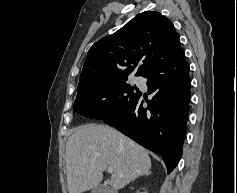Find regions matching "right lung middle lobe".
Wrapping results in <instances>:
<instances>
[{"label": "right lung middle lobe", "instance_id": "dd1d6c3e", "mask_svg": "<svg viewBox=\"0 0 237 193\" xmlns=\"http://www.w3.org/2000/svg\"><path fill=\"white\" fill-rule=\"evenodd\" d=\"M127 79L113 80L77 91L73 110L94 119H104L123 110L139 94Z\"/></svg>", "mask_w": 237, "mask_h": 193}]
</instances>
